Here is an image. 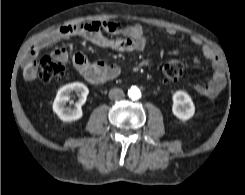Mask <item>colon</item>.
<instances>
[{
	"mask_svg": "<svg viewBox=\"0 0 245 195\" xmlns=\"http://www.w3.org/2000/svg\"><path fill=\"white\" fill-rule=\"evenodd\" d=\"M40 78L43 82L60 81L66 73L65 60L44 56L39 62ZM162 72L166 80L176 81L184 72L183 63L179 59H171L162 65Z\"/></svg>",
	"mask_w": 245,
	"mask_h": 195,
	"instance_id": "obj_1",
	"label": "colon"
}]
</instances>
